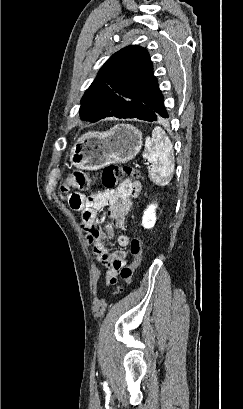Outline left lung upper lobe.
Listing matches in <instances>:
<instances>
[{
  "label": "left lung upper lobe",
  "mask_w": 243,
  "mask_h": 409,
  "mask_svg": "<svg viewBox=\"0 0 243 409\" xmlns=\"http://www.w3.org/2000/svg\"><path fill=\"white\" fill-rule=\"evenodd\" d=\"M158 87L146 49L130 45L112 55L81 99L80 118L96 122L106 113L124 114L128 104L140 101Z\"/></svg>",
  "instance_id": "1"
}]
</instances>
